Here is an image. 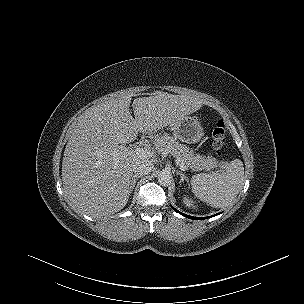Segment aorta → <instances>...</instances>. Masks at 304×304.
I'll return each instance as SVG.
<instances>
[{"instance_id": "obj_1", "label": "aorta", "mask_w": 304, "mask_h": 304, "mask_svg": "<svg viewBox=\"0 0 304 304\" xmlns=\"http://www.w3.org/2000/svg\"><path fill=\"white\" fill-rule=\"evenodd\" d=\"M158 182L160 185L167 186L172 180V176L169 171L162 170L158 174Z\"/></svg>"}]
</instances>
